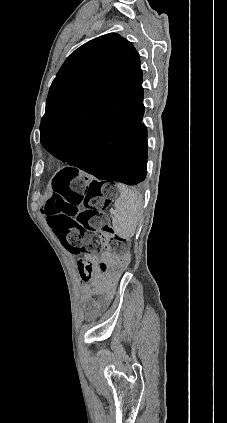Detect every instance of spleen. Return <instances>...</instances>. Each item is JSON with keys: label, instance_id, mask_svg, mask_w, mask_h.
<instances>
[{"label": "spleen", "instance_id": "spleen-1", "mask_svg": "<svg viewBox=\"0 0 227 423\" xmlns=\"http://www.w3.org/2000/svg\"><path fill=\"white\" fill-rule=\"evenodd\" d=\"M120 198L115 202L116 213L112 219L113 227L120 237L129 239L136 231L138 219L143 210V202L135 192L123 184H117Z\"/></svg>", "mask_w": 227, "mask_h": 423}]
</instances>
